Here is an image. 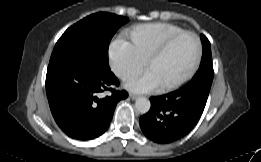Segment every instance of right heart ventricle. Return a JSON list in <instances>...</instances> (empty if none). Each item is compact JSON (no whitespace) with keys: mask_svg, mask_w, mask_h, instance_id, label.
<instances>
[{"mask_svg":"<svg viewBox=\"0 0 261 162\" xmlns=\"http://www.w3.org/2000/svg\"><path fill=\"white\" fill-rule=\"evenodd\" d=\"M182 31L183 28L171 23H148L134 26L128 36L137 53L146 59L166 39Z\"/></svg>","mask_w":261,"mask_h":162,"instance_id":"1","label":"right heart ventricle"}]
</instances>
